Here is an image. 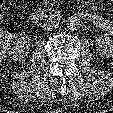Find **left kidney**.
Returning <instances> with one entry per match:
<instances>
[{
	"label": "left kidney",
	"mask_w": 113,
	"mask_h": 113,
	"mask_svg": "<svg viewBox=\"0 0 113 113\" xmlns=\"http://www.w3.org/2000/svg\"><path fill=\"white\" fill-rule=\"evenodd\" d=\"M95 44L99 55L113 58V40L111 38L106 35H97Z\"/></svg>",
	"instance_id": "5707ae66"
}]
</instances>
